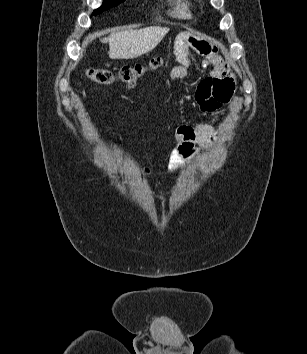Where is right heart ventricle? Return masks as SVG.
I'll list each match as a JSON object with an SVG mask.
<instances>
[{
  "label": "right heart ventricle",
  "mask_w": 307,
  "mask_h": 354,
  "mask_svg": "<svg viewBox=\"0 0 307 354\" xmlns=\"http://www.w3.org/2000/svg\"><path fill=\"white\" fill-rule=\"evenodd\" d=\"M171 14L180 19L192 18V3L190 0H170Z\"/></svg>",
  "instance_id": "obj_1"
}]
</instances>
